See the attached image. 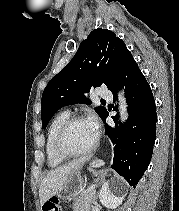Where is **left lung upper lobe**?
<instances>
[{
	"label": "left lung upper lobe",
	"mask_w": 179,
	"mask_h": 211,
	"mask_svg": "<svg viewBox=\"0 0 179 211\" xmlns=\"http://www.w3.org/2000/svg\"><path fill=\"white\" fill-rule=\"evenodd\" d=\"M131 54L125 43L115 33L97 28L84 40L73 59L47 84L42 95V127L62 107L86 103L92 87L114 85L121 67ZM102 118L107 112L103 106L95 109Z\"/></svg>",
	"instance_id": "1"
}]
</instances>
